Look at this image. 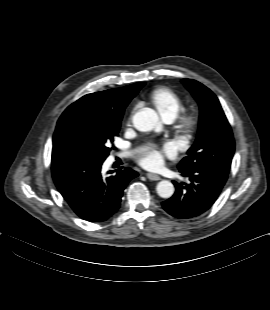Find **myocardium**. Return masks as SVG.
<instances>
[{
  "label": "myocardium",
  "instance_id": "myocardium-1",
  "mask_svg": "<svg viewBox=\"0 0 270 310\" xmlns=\"http://www.w3.org/2000/svg\"><path fill=\"white\" fill-rule=\"evenodd\" d=\"M197 116L193 112L180 111L174 118L176 134L183 140L192 137L197 127Z\"/></svg>",
  "mask_w": 270,
  "mask_h": 310
}]
</instances>
